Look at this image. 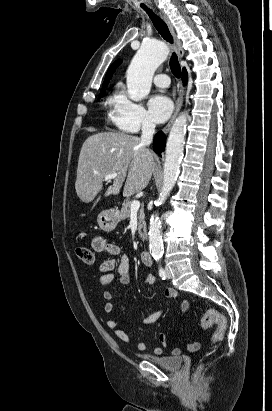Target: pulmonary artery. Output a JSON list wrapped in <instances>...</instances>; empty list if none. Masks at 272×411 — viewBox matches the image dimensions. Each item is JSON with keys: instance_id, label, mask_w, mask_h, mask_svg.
<instances>
[{"instance_id": "obj_1", "label": "pulmonary artery", "mask_w": 272, "mask_h": 411, "mask_svg": "<svg viewBox=\"0 0 272 411\" xmlns=\"http://www.w3.org/2000/svg\"><path fill=\"white\" fill-rule=\"evenodd\" d=\"M154 84H155L157 87H160V88H167V87L169 86V84H170V80H169L168 75L163 74V73L157 74V75L154 77Z\"/></svg>"}]
</instances>
